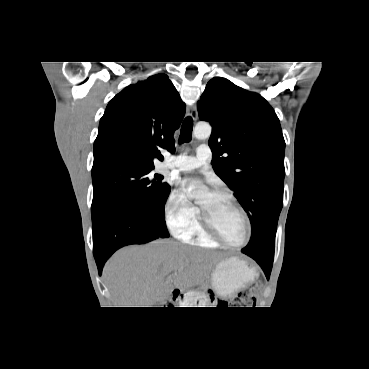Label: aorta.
<instances>
[{"instance_id": "1", "label": "aorta", "mask_w": 369, "mask_h": 369, "mask_svg": "<svg viewBox=\"0 0 369 369\" xmlns=\"http://www.w3.org/2000/svg\"><path fill=\"white\" fill-rule=\"evenodd\" d=\"M212 128L207 123H198L194 130L193 135L197 139H206L210 137ZM206 191V187L201 185L198 187H194L192 190L189 191V195L191 197H200Z\"/></svg>"}]
</instances>
